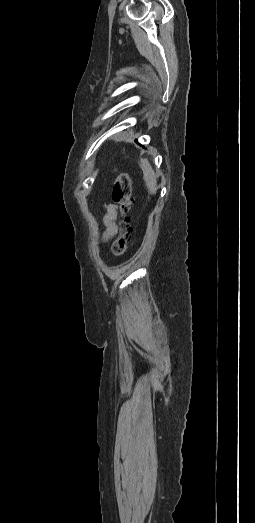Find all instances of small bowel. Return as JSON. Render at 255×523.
I'll list each match as a JSON object with an SVG mask.
<instances>
[{
    "label": "small bowel",
    "mask_w": 255,
    "mask_h": 523,
    "mask_svg": "<svg viewBox=\"0 0 255 523\" xmlns=\"http://www.w3.org/2000/svg\"><path fill=\"white\" fill-rule=\"evenodd\" d=\"M116 217H117V207L113 204H107L105 205V213L103 215V224L106 227L105 233H104V239L108 240L112 236H114L117 232V226H116Z\"/></svg>",
    "instance_id": "obj_1"
}]
</instances>
